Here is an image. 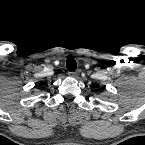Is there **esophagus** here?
I'll use <instances>...</instances> for the list:
<instances>
[{"label":"esophagus","instance_id":"esophagus-1","mask_svg":"<svg viewBox=\"0 0 145 145\" xmlns=\"http://www.w3.org/2000/svg\"><path fill=\"white\" fill-rule=\"evenodd\" d=\"M80 73V70L77 71H69L68 75L71 77H76Z\"/></svg>","mask_w":145,"mask_h":145}]
</instances>
